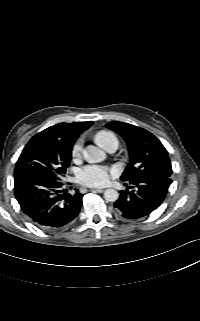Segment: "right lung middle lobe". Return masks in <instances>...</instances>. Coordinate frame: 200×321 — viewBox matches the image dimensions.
Returning a JSON list of instances; mask_svg holds the SVG:
<instances>
[{
    "label": "right lung middle lobe",
    "instance_id": "dd1d6c3e",
    "mask_svg": "<svg viewBox=\"0 0 200 321\" xmlns=\"http://www.w3.org/2000/svg\"><path fill=\"white\" fill-rule=\"evenodd\" d=\"M71 149L38 133L23 149L16 162L15 175L37 173L61 182L70 165Z\"/></svg>",
    "mask_w": 200,
    "mask_h": 321
}]
</instances>
